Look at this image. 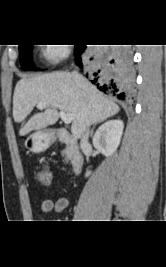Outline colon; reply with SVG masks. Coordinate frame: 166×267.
<instances>
[{
    "mask_svg": "<svg viewBox=\"0 0 166 267\" xmlns=\"http://www.w3.org/2000/svg\"><path fill=\"white\" fill-rule=\"evenodd\" d=\"M37 180L44 186L50 185L52 181V174L47 166H42L38 169Z\"/></svg>",
    "mask_w": 166,
    "mask_h": 267,
    "instance_id": "colon-1",
    "label": "colon"
}]
</instances>
